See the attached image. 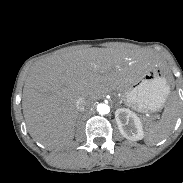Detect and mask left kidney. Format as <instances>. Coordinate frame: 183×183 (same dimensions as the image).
Masks as SVG:
<instances>
[{"instance_id":"left-kidney-1","label":"left kidney","mask_w":183,"mask_h":183,"mask_svg":"<svg viewBox=\"0 0 183 183\" xmlns=\"http://www.w3.org/2000/svg\"><path fill=\"white\" fill-rule=\"evenodd\" d=\"M115 120L120 133L128 140L138 141L144 137L141 119L136 113L126 108L115 111Z\"/></svg>"}]
</instances>
